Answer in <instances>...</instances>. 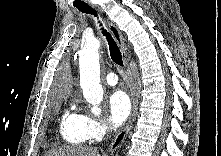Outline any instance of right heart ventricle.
<instances>
[{
  "label": "right heart ventricle",
  "instance_id": "e07e8e85",
  "mask_svg": "<svg viewBox=\"0 0 221 156\" xmlns=\"http://www.w3.org/2000/svg\"><path fill=\"white\" fill-rule=\"evenodd\" d=\"M60 134L71 145H82L87 141L82 132L79 115L70 111L62 115Z\"/></svg>",
  "mask_w": 221,
  "mask_h": 156
}]
</instances>
